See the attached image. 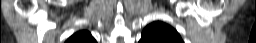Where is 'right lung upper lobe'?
<instances>
[{
  "mask_svg": "<svg viewBox=\"0 0 256 43\" xmlns=\"http://www.w3.org/2000/svg\"><path fill=\"white\" fill-rule=\"evenodd\" d=\"M66 43H96L90 32L82 30L73 34Z\"/></svg>",
  "mask_w": 256,
  "mask_h": 43,
  "instance_id": "cb5924a9",
  "label": "right lung upper lobe"
}]
</instances>
